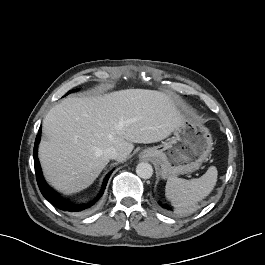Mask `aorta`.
<instances>
[{
  "mask_svg": "<svg viewBox=\"0 0 265 265\" xmlns=\"http://www.w3.org/2000/svg\"><path fill=\"white\" fill-rule=\"evenodd\" d=\"M136 173L142 179H149L153 175V168L151 164L147 162H141L136 167Z\"/></svg>",
  "mask_w": 265,
  "mask_h": 265,
  "instance_id": "aorta-1",
  "label": "aorta"
}]
</instances>
